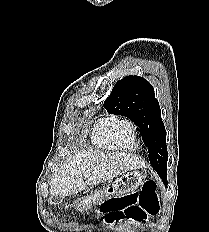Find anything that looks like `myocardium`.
<instances>
[{"label": "myocardium", "instance_id": "1", "mask_svg": "<svg viewBox=\"0 0 209 232\" xmlns=\"http://www.w3.org/2000/svg\"><path fill=\"white\" fill-rule=\"evenodd\" d=\"M120 125H127L131 128L132 134H133V139H136V134H137V127L136 124L129 118H119L111 127V138L113 142L122 150L126 151H131L132 149H128L122 145L120 140L118 139L116 135V128Z\"/></svg>", "mask_w": 209, "mask_h": 232}]
</instances>
